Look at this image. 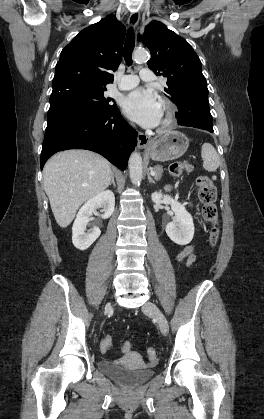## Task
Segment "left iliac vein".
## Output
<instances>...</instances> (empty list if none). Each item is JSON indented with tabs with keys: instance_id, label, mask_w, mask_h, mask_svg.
Instances as JSON below:
<instances>
[{
	"instance_id": "left-iliac-vein-1",
	"label": "left iliac vein",
	"mask_w": 264,
	"mask_h": 419,
	"mask_svg": "<svg viewBox=\"0 0 264 419\" xmlns=\"http://www.w3.org/2000/svg\"><path fill=\"white\" fill-rule=\"evenodd\" d=\"M142 310L145 313L152 315L153 318H155L161 332L164 335L168 334V332H169L168 321H167L166 317L164 316V314L161 312V310L153 302H150V301L146 302L143 305Z\"/></svg>"
}]
</instances>
